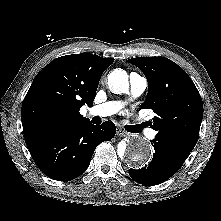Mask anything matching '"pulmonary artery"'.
Wrapping results in <instances>:
<instances>
[{"instance_id": "1", "label": "pulmonary artery", "mask_w": 221, "mask_h": 221, "mask_svg": "<svg viewBox=\"0 0 221 221\" xmlns=\"http://www.w3.org/2000/svg\"><path fill=\"white\" fill-rule=\"evenodd\" d=\"M129 84H130V97H131L130 100H132L140 97L143 94V92L147 88L148 82L144 76L136 72H132L129 75ZM123 106L124 102L108 101L103 104L92 107L90 110V114L100 117L111 116L117 113ZM141 131L147 137L153 138L156 135V131L145 128L143 126L141 127Z\"/></svg>"}]
</instances>
